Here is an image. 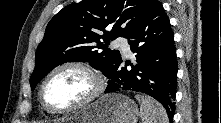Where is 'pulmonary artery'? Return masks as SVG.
Returning a JSON list of instances; mask_svg holds the SVG:
<instances>
[{
	"instance_id": "e3ab8cb5",
	"label": "pulmonary artery",
	"mask_w": 221,
	"mask_h": 123,
	"mask_svg": "<svg viewBox=\"0 0 221 123\" xmlns=\"http://www.w3.org/2000/svg\"><path fill=\"white\" fill-rule=\"evenodd\" d=\"M115 46L119 47L123 51L124 54H126V55L131 54L130 46H129L127 40H125L123 38H118L115 41Z\"/></svg>"
}]
</instances>
